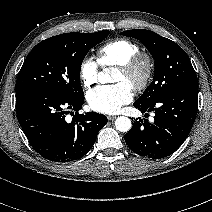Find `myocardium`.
<instances>
[{
	"label": "myocardium",
	"mask_w": 212,
	"mask_h": 212,
	"mask_svg": "<svg viewBox=\"0 0 212 212\" xmlns=\"http://www.w3.org/2000/svg\"><path fill=\"white\" fill-rule=\"evenodd\" d=\"M118 69L131 79V86L141 91L147 88L154 74V63L148 54L137 53L125 63L118 65Z\"/></svg>",
	"instance_id": "obj_1"
}]
</instances>
